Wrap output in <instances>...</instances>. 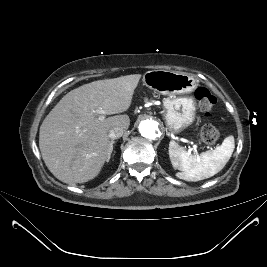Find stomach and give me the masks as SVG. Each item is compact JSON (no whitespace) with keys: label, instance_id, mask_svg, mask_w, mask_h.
<instances>
[{"label":"stomach","instance_id":"obj_1","mask_svg":"<svg viewBox=\"0 0 267 267\" xmlns=\"http://www.w3.org/2000/svg\"><path fill=\"white\" fill-rule=\"evenodd\" d=\"M144 83L166 96L163 100L164 118L173 133H180L195 120L196 102L189 96L198 86L197 80L175 71L153 70L143 77Z\"/></svg>","mask_w":267,"mask_h":267}]
</instances>
